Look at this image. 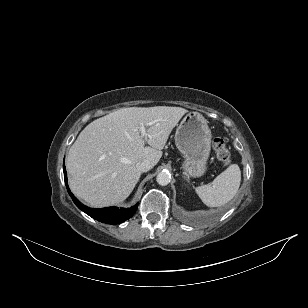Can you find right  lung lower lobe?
<instances>
[{
    "label": "right lung lower lobe",
    "instance_id": "obj_1",
    "mask_svg": "<svg viewBox=\"0 0 308 308\" xmlns=\"http://www.w3.org/2000/svg\"><path fill=\"white\" fill-rule=\"evenodd\" d=\"M63 171H64V180H65L66 188L73 202L80 210L88 214L90 217L100 222L107 223V224H118V223L124 222L125 220L129 219L136 212L138 204H136L135 206L131 208H127V209L117 208V207H107V208H102V209H96V208H89L81 204L80 201L71 193L68 187L67 173H66L64 164H63Z\"/></svg>",
    "mask_w": 308,
    "mask_h": 308
}]
</instances>
